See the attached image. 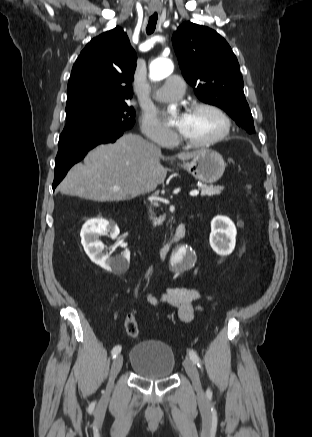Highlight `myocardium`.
Returning <instances> with one entry per match:
<instances>
[{"instance_id": "f54148a6", "label": "myocardium", "mask_w": 312, "mask_h": 437, "mask_svg": "<svg viewBox=\"0 0 312 437\" xmlns=\"http://www.w3.org/2000/svg\"><path fill=\"white\" fill-rule=\"evenodd\" d=\"M197 111H210V112L217 114L223 121L222 130L218 134H216L215 136L208 138L206 140H202V141L189 140V139L185 138L182 134H180L179 135V142L180 143L187 145V146L196 147V148L206 147V146H210V145H213V144H216V143L222 141L230 134L231 129H232V120H231L230 116L228 115V113L224 109H222L220 106L212 104V103H196V104H193L189 109V113L197 112Z\"/></svg>"}]
</instances>
